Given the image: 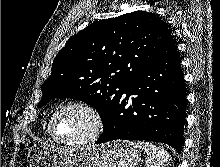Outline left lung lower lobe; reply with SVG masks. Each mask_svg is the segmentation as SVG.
<instances>
[{"label": "left lung lower lobe", "instance_id": "left-lung-lower-lobe-1", "mask_svg": "<svg viewBox=\"0 0 220 167\" xmlns=\"http://www.w3.org/2000/svg\"><path fill=\"white\" fill-rule=\"evenodd\" d=\"M129 98L131 105L127 107ZM185 106L183 73L175 49L129 80L96 144L117 139L149 140L166 143L180 154Z\"/></svg>", "mask_w": 220, "mask_h": 167}]
</instances>
